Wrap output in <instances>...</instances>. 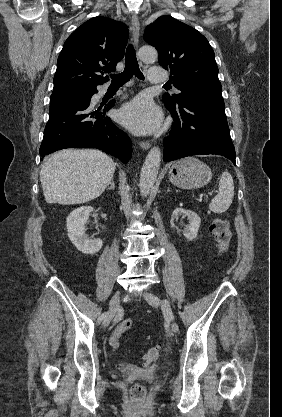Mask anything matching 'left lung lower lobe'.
Listing matches in <instances>:
<instances>
[{
  "label": "left lung lower lobe",
  "mask_w": 282,
  "mask_h": 417,
  "mask_svg": "<svg viewBox=\"0 0 282 417\" xmlns=\"http://www.w3.org/2000/svg\"><path fill=\"white\" fill-rule=\"evenodd\" d=\"M174 119L165 138L163 161L191 155H222L235 163V149L226 120L221 91L201 88L191 91L179 105L167 106Z\"/></svg>",
  "instance_id": "0a47b994"
}]
</instances>
